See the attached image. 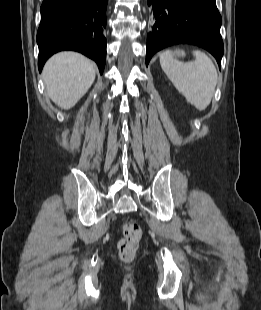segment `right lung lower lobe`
<instances>
[{"label":"right lung lower lobe","instance_id":"1","mask_svg":"<svg viewBox=\"0 0 261 310\" xmlns=\"http://www.w3.org/2000/svg\"><path fill=\"white\" fill-rule=\"evenodd\" d=\"M108 0H43L37 32L38 67L61 50H74L93 59L102 74L106 62Z\"/></svg>","mask_w":261,"mask_h":310}]
</instances>
